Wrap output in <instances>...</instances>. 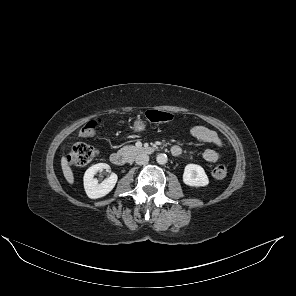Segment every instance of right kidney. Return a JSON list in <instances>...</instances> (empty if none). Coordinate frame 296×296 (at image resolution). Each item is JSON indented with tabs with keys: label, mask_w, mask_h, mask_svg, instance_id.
<instances>
[{
	"label": "right kidney",
	"mask_w": 296,
	"mask_h": 296,
	"mask_svg": "<svg viewBox=\"0 0 296 296\" xmlns=\"http://www.w3.org/2000/svg\"><path fill=\"white\" fill-rule=\"evenodd\" d=\"M103 169L110 171V166L106 163H98L88 168L84 174L85 192L91 199H97L107 195L116 185L118 177L115 173H111L110 177L98 183L94 175Z\"/></svg>",
	"instance_id": "1"
}]
</instances>
